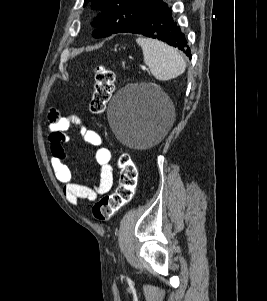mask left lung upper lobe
Segmentation results:
<instances>
[{"mask_svg": "<svg viewBox=\"0 0 267 301\" xmlns=\"http://www.w3.org/2000/svg\"><path fill=\"white\" fill-rule=\"evenodd\" d=\"M162 0H85L94 10L102 12L93 24L94 37L101 38L118 33L126 25L136 22Z\"/></svg>", "mask_w": 267, "mask_h": 301, "instance_id": "left-lung-upper-lobe-1", "label": "left lung upper lobe"}]
</instances>
